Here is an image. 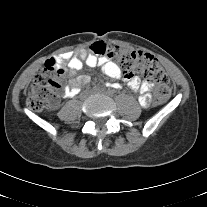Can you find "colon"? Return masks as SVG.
<instances>
[{"label":"colon","instance_id":"5ec220e1","mask_svg":"<svg viewBox=\"0 0 207 207\" xmlns=\"http://www.w3.org/2000/svg\"><path fill=\"white\" fill-rule=\"evenodd\" d=\"M92 50L95 54L105 55L118 63L125 78L141 76L148 85H157L156 105L164 103L169 98V77L150 54L105 43L93 45ZM63 73L54 57L45 62L30 87L27 105L31 110L40 112L57 104L60 88L58 77Z\"/></svg>","mask_w":207,"mask_h":207}]
</instances>
